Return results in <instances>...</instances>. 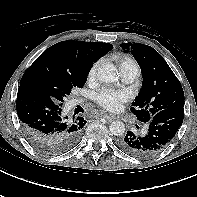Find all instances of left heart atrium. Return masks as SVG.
I'll use <instances>...</instances> for the list:
<instances>
[{
    "label": "left heart atrium",
    "mask_w": 197,
    "mask_h": 197,
    "mask_svg": "<svg viewBox=\"0 0 197 197\" xmlns=\"http://www.w3.org/2000/svg\"><path fill=\"white\" fill-rule=\"evenodd\" d=\"M128 100V94L123 90L112 88H102L95 95V101L103 108L115 111L118 110L122 103Z\"/></svg>",
    "instance_id": "left-heart-atrium-1"
}]
</instances>
